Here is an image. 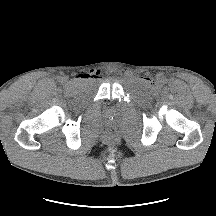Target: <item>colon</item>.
Here are the masks:
<instances>
[{"mask_svg": "<svg viewBox=\"0 0 216 216\" xmlns=\"http://www.w3.org/2000/svg\"><path fill=\"white\" fill-rule=\"evenodd\" d=\"M109 137H110L111 139L115 137L114 131H110V132H109Z\"/></svg>", "mask_w": 216, "mask_h": 216, "instance_id": "5ec220e1", "label": "colon"}]
</instances>
